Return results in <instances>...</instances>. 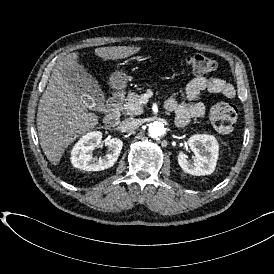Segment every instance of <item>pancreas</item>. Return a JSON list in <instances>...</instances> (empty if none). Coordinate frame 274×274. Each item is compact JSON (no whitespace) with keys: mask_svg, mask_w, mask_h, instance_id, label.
<instances>
[{"mask_svg":"<svg viewBox=\"0 0 274 274\" xmlns=\"http://www.w3.org/2000/svg\"><path fill=\"white\" fill-rule=\"evenodd\" d=\"M140 99V95L134 91H130L126 103L121 107L124 115H139L143 113L142 108L137 106V102Z\"/></svg>","mask_w":274,"mask_h":274,"instance_id":"cf45deb5","label":"pancreas"}]
</instances>
